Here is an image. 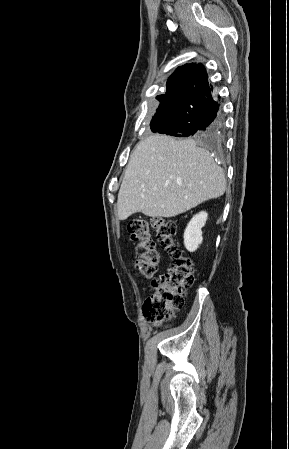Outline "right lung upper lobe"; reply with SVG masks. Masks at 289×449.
Here are the masks:
<instances>
[{
	"label": "right lung upper lobe",
	"mask_w": 289,
	"mask_h": 449,
	"mask_svg": "<svg viewBox=\"0 0 289 449\" xmlns=\"http://www.w3.org/2000/svg\"><path fill=\"white\" fill-rule=\"evenodd\" d=\"M182 77L185 78H194V79H207V73L206 69L202 64H185L182 67H178L177 70L170 76V78L167 81L166 87V93L168 94V89L170 85L175 82L177 79H180Z\"/></svg>",
	"instance_id": "right-lung-upper-lobe-1"
}]
</instances>
